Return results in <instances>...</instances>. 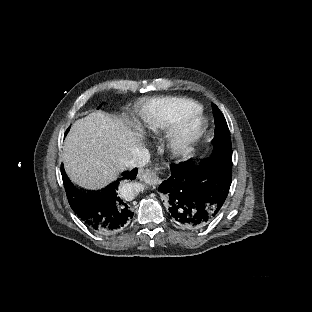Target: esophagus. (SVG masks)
I'll return each instance as SVG.
<instances>
[{"label":"esophagus","mask_w":312,"mask_h":312,"mask_svg":"<svg viewBox=\"0 0 312 312\" xmlns=\"http://www.w3.org/2000/svg\"><path fill=\"white\" fill-rule=\"evenodd\" d=\"M137 177L143 181H145L149 185H157L160 182L157 174L150 170H139Z\"/></svg>","instance_id":"34e87169"}]
</instances>
